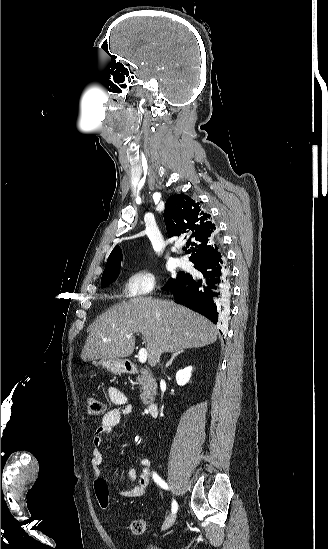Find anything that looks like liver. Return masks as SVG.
I'll list each match as a JSON object with an SVG mask.
<instances>
[{
    "label": "liver",
    "mask_w": 328,
    "mask_h": 549,
    "mask_svg": "<svg viewBox=\"0 0 328 549\" xmlns=\"http://www.w3.org/2000/svg\"><path fill=\"white\" fill-rule=\"evenodd\" d=\"M82 349L83 361L130 357L135 349L134 333H141L148 363L155 367L162 353L205 347L217 341L216 329L206 317L152 297H136L114 305L92 323ZM126 335H131L127 339Z\"/></svg>",
    "instance_id": "obj_1"
}]
</instances>
